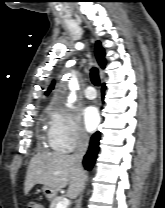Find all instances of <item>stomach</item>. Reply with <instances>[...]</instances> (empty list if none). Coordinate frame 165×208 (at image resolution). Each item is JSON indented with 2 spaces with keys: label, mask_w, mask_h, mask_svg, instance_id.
I'll list each match as a JSON object with an SVG mask.
<instances>
[{
  "label": "stomach",
  "mask_w": 165,
  "mask_h": 208,
  "mask_svg": "<svg viewBox=\"0 0 165 208\" xmlns=\"http://www.w3.org/2000/svg\"><path fill=\"white\" fill-rule=\"evenodd\" d=\"M43 193L48 200H53L57 195V191L55 189L46 186L43 187Z\"/></svg>",
  "instance_id": "obj_1"
}]
</instances>
